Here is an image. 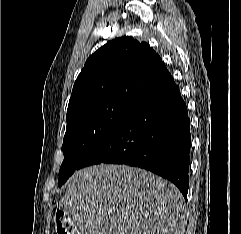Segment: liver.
Returning a JSON list of instances; mask_svg holds the SVG:
<instances>
[{
  "mask_svg": "<svg viewBox=\"0 0 241 234\" xmlns=\"http://www.w3.org/2000/svg\"><path fill=\"white\" fill-rule=\"evenodd\" d=\"M61 207L78 234H179L185 205L169 181L143 169L100 164L76 171Z\"/></svg>",
  "mask_w": 241,
  "mask_h": 234,
  "instance_id": "liver-1",
  "label": "liver"
}]
</instances>
